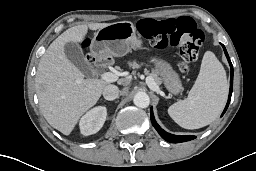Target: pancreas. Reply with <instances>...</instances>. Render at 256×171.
<instances>
[{
  "label": "pancreas",
  "mask_w": 256,
  "mask_h": 171,
  "mask_svg": "<svg viewBox=\"0 0 256 171\" xmlns=\"http://www.w3.org/2000/svg\"><path fill=\"white\" fill-rule=\"evenodd\" d=\"M129 66L132 67V68H139V67H140V65L137 64L135 61L129 63ZM149 75H150V77L153 79V81L156 83V85H160V84H161V80H160V78L158 77L157 72H152V73L149 74Z\"/></svg>",
  "instance_id": "1"
}]
</instances>
